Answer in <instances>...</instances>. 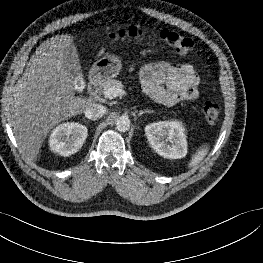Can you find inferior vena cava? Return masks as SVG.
I'll return each instance as SVG.
<instances>
[{
    "instance_id": "inferior-vena-cava-1",
    "label": "inferior vena cava",
    "mask_w": 263,
    "mask_h": 263,
    "mask_svg": "<svg viewBox=\"0 0 263 263\" xmlns=\"http://www.w3.org/2000/svg\"><path fill=\"white\" fill-rule=\"evenodd\" d=\"M105 113H106V107L97 103H91L84 110L85 116L91 120H97L101 118Z\"/></svg>"
}]
</instances>
